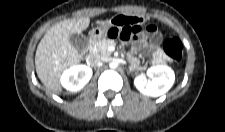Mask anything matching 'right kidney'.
I'll return each mask as SVG.
<instances>
[{"label":"right kidney","mask_w":225,"mask_h":132,"mask_svg":"<svg viewBox=\"0 0 225 132\" xmlns=\"http://www.w3.org/2000/svg\"><path fill=\"white\" fill-rule=\"evenodd\" d=\"M92 69L86 65L73 66L64 71L61 76L62 86L71 91H80L91 79Z\"/></svg>","instance_id":"obj_1"}]
</instances>
